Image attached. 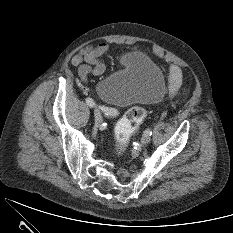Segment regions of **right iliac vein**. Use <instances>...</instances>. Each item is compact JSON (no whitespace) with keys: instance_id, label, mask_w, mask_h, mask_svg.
I'll return each instance as SVG.
<instances>
[{"instance_id":"obj_1","label":"right iliac vein","mask_w":233,"mask_h":233,"mask_svg":"<svg viewBox=\"0 0 233 233\" xmlns=\"http://www.w3.org/2000/svg\"><path fill=\"white\" fill-rule=\"evenodd\" d=\"M94 116H95V123L100 124L102 122V116L99 110L97 109L94 110Z\"/></svg>"}]
</instances>
